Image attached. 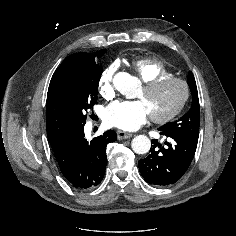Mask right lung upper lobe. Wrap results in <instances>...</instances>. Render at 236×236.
<instances>
[{"instance_id": "cb5924a9", "label": "right lung upper lobe", "mask_w": 236, "mask_h": 236, "mask_svg": "<svg viewBox=\"0 0 236 236\" xmlns=\"http://www.w3.org/2000/svg\"><path fill=\"white\" fill-rule=\"evenodd\" d=\"M79 53L68 56L55 71L49 84L46 106V129L48 138L60 136L57 141L51 140L52 149L57 147L73 129L70 117L63 102L64 86L75 72V59Z\"/></svg>"}]
</instances>
